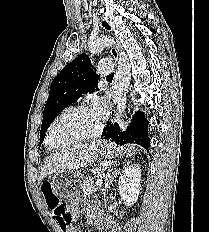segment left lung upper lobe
Listing matches in <instances>:
<instances>
[{
  "instance_id": "left-lung-upper-lobe-1",
  "label": "left lung upper lobe",
  "mask_w": 209,
  "mask_h": 232,
  "mask_svg": "<svg viewBox=\"0 0 209 232\" xmlns=\"http://www.w3.org/2000/svg\"><path fill=\"white\" fill-rule=\"evenodd\" d=\"M102 25L110 29L106 22ZM92 68L89 57L82 53L53 79L44 108L40 143L43 142L46 130L59 112L75 103L83 93L93 91L99 77Z\"/></svg>"
}]
</instances>
